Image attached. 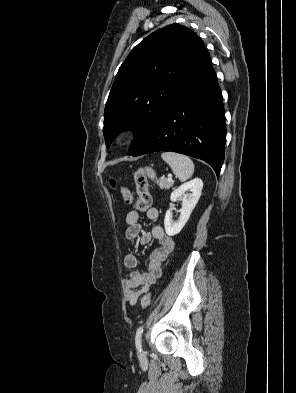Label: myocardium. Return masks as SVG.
Returning a JSON list of instances; mask_svg holds the SVG:
<instances>
[{
    "label": "myocardium",
    "instance_id": "1",
    "mask_svg": "<svg viewBox=\"0 0 296 393\" xmlns=\"http://www.w3.org/2000/svg\"><path fill=\"white\" fill-rule=\"evenodd\" d=\"M134 136V131L130 128H126L123 129L121 131H119L116 135H115V143L118 145H124L127 142H129Z\"/></svg>",
    "mask_w": 296,
    "mask_h": 393
}]
</instances>
